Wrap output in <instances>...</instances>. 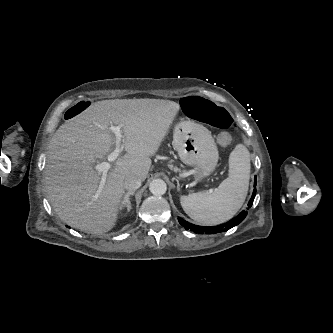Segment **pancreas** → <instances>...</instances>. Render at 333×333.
<instances>
[{
    "mask_svg": "<svg viewBox=\"0 0 333 333\" xmlns=\"http://www.w3.org/2000/svg\"><path fill=\"white\" fill-rule=\"evenodd\" d=\"M170 168L174 171H179V169L177 167L170 166Z\"/></svg>",
    "mask_w": 333,
    "mask_h": 333,
    "instance_id": "cf45deb5",
    "label": "pancreas"
}]
</instances>
